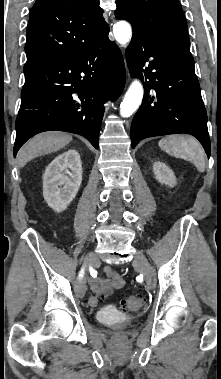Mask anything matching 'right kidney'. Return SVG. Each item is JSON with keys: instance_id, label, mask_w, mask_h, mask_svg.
Listing matches in <instances>:
<instances>
[{"instance_id": "right-kidney-1", "label": "right kidney", "mask_w": 221, "mask_h": 379, "mask_svg": "<svg viewBox=\"0 0 221 379\" xmlns=\"http://www.w3.org/2000/svg\"><path fill=\"white\" fill-rule=\"evenodd\" d=\"M82 183V162L79 153L68 150L58 155L43 175V196L56 212L64 211L75 198Z\"/></svg>"}]
</instances>
